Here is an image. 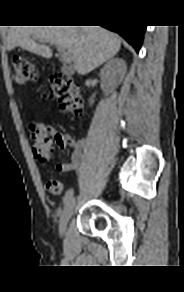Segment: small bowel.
I'll return each instance as SVG.
<instances>
[{
	"label": "small bowel",
	"instance_id": "obj_1",
	"mask_svg": "<svg viewBox=\"0 0 184 292\" xmlns=\"http://www.w3.org/2000/svg\"><path fill=\"white\" fill-rule=\"evenodd\" d=\"M51 143L55 144L58 148L70 147L73 149L71 154V161L61 163L57 166L59 172L67 173L78 170L83 162L84 144L80 140H76L71 135L61 133L58 131L51 132Z\"/></svg>",
	"mask_w": 184,
	"mask_h": 292
}]
</instances>
